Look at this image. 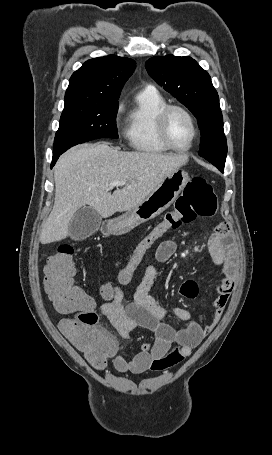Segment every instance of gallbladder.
Listing matches in <instances>:
<instances>
[{"label": "gallbladder", "instance_id": "bac80fb5", "mask_svg": "<svg viewBox=\"0 0 272 455\" xmlns=\"http://www.w3.org/2000/svg\"><path fill=\"white\" fill-rule=\"evenodd\" d=\"M100 225L98 212L90 206H84L70 220L69 235L73 240H83L98 231Z\"/></svg>", "mask_w": 272, "mask_h": 455}]
</instances>
